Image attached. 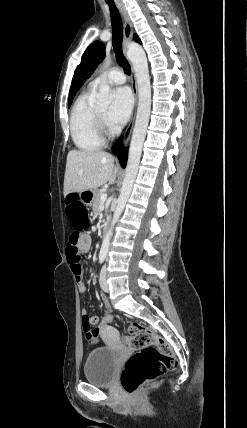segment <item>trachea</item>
Wrapping results in <instances>:
<instances>
[{
  "label": "trachea",
  "mask_w": 247,
  "mask_h": 428,
  "mask_svg": "<svg viewBox=\"0 0 247 428\" xmlns=\"http://www.w3.org/2000/svg\"><path fill=\"white\" fill-rule=\"evenodd\" d=\"M110 10V17L112 22V45L114 48V53L117 59V62L123 67L127 75L131 74V68L123 54L122 51V41H123V26L121 16L118 9L116 8L113 2H107Z\"/></svg>",
  "instance_id": "obj_1"
}]
</instances>
